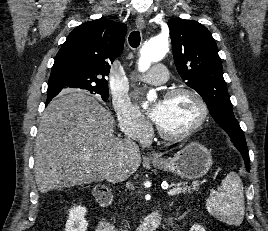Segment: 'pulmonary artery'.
I'll use <instances>...</instances> for the list:
<instances>
[{
  "instance_id": "1",
  "label": "pulmonary artery",
  "mask_w": 268,
  "mask_h": 231,
  "mask_svg": "<svg viewBox=\"0 0 268 231\" xmlns=\"http://www.w3.org/2000/svg\"><path fill=\"white\" fill-rule=\"evenodd\" d=\"M167 79V69L164 65L156 66L150 73L141 75L137 80L151 84H161Z\"/></svg>"
}]
</instances>
